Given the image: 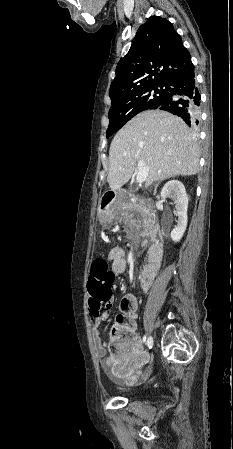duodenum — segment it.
I'll use <instances>...</instances> for the list:
<instances>
[{
  "label": "duodenum",
  "instance_id": "410a0bca",
  "mask_svg": "<svg viewBox=\"0 0 233 449\" xmlns=\"http://www.w3.org/2000/svg\"><path fill=\"white\" fill-rule=\"evenodd\" d=\"M122 191V188L119 186L115 187L113 191H106L105 197L102 198L100 204L101 209L107 210L110 206H114L115 200H117L118 195ZM150 240L151 246L147 253L146 264L142 272H154L156 276L161 266L164 245L161 228L155 224L150 227Z\"/></svg>",
  "mask_w": 233,
  "mask_h": 449
}]
</instances>
